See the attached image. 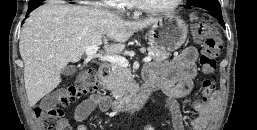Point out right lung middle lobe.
Returning a JSON list of instances; mask_svg holds the SVG:
<instances>
[{"mask_svg":"<svg viewBox=\"0 0 257 130\" xmlns=\"http://www.w3.org/2000/svg\"><path fill=\"white\" fill-rule=\"evenodd\" d=\"M42 1H38V0H31L28 4V8H37L38 6H40L39 4L41 3Z\"/></svg>","mask_w":257,"mask_h":130,"instance_id":"1","label":"right lung middle lobe"}]
</instances>
